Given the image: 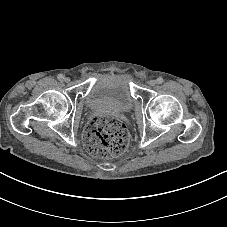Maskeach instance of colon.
Instances as JSON below:
<instances>
[{"instance_id":"1","label":"colon","mask_w":227,"mask_h":227,"mask_svg":"<svg viewBox=\"0 0 227 227\" xmlns=\"http://www.w3.org/2000/svg\"><path fill=\"white\" fill-rule=\"evenodd\" d=\"M84 141L89 153L113 158L126 151L129 135L121 121L110 116H97L88 123Z\"/></svg>"}]
</instances>
